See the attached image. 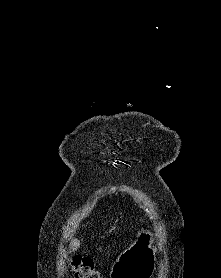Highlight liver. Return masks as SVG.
Listing matches in <instances>:
<instances>
[{
  "label": "liver",
  "mask_w": 221,
  "mask_h": 278,
  "mask_svg": "<svg viewBox=\"0 0 221 278\" xmlns=\"http://www.w3.org/2000/svg\"><path fill=\"white\" fill-rule=\"evenodd\" d=\"M72 251L77 250L80 247V241L78 239H73L70 243Z\"/></svg>",
  "instance_id": "1"
}]
</instances>
